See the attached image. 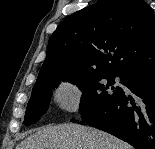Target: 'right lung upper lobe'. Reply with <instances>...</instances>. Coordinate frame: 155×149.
<instances>
[{
	"label": "right lung upper lobe",
	"mask_w": 155,
	"mask_h": 149,
	"mask_svg": "<svg viewBox=\"0 0 155 149\" xmlns=\"http://www.w3.org/2000/svg\"><path fill=\"white\" fill-rule=\"evenodd\" d=\"M155 67V14L143 0H100L67 17L49 39L37 81L63 72L126 75Z\"/></svg>",
	"instance_id": "right-lung-upper-lobe-1"
}]
</instances>
